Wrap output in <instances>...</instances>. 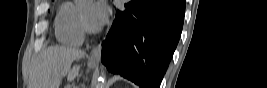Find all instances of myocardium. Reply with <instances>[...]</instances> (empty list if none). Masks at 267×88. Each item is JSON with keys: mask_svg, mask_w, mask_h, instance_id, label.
<instances>
[{"mask_svg": "<svg viewBox=\"0 0 267 88\" xmlns=\"http://www.w3.org/2000/svg\"><path fill=\"white\" fill-rule=\"evenodd\" d=\"M79 20H80V24L83 27V29H85L87 32L89 33H95L98 30L92 26H90L88 24V22L86 21V19L84 18V15L82 13V10L79 11Z\"/></svg>", "mask_w": 267, "mask_h": 88, "instance_id": "myocardium-1", "label": "myocardium"}]
</instances>
